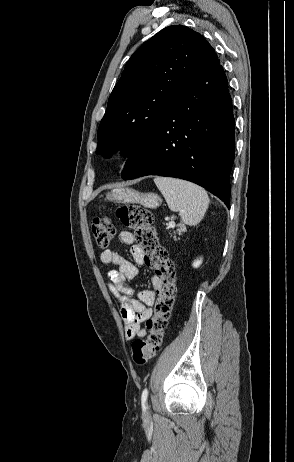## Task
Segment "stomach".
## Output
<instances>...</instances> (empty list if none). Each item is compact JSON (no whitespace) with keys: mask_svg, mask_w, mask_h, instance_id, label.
Wrapping results in <instances>:
<instances>
[{"mask_svg":"<svg viewBox=\"0 0 294 462\" xmlns=\"http://www.w3.org/2000/svg\"><path fill=\"white\" fill-rule=\"evenodd\" d=\"M110 201L119 203H139L147 208H157L162 199L154 193H142L132 188H116L106 194Z\"/></svg>","mask_w":294,"mask_h":462,"instance_id":"0dacf381","label":"stomach"}]
</instances>
